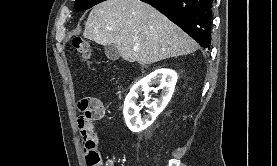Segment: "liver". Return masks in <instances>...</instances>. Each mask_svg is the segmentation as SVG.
Listing matches in <instances>:
<instances>
[{"mask_svg":"<svg viewBox=\"0 0 277 166\" xmlns=\"http://www.w3.org/2000/svg\"><path fill=\"white\" fill-rule=\"evenodd\" d=\"M83 36L100 45L114 44L125 61L141 65L198 49L182 29L140 0H106L94 6Z\"/></svg>","mask_w":277,"mask_h":166,"instance_id":"6515ba94","label":"liver"}]
</instances>
